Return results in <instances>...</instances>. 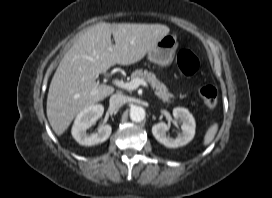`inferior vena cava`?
I'll list each match as a JSON object with an SVG mask.
<instances>
[{"label":"inferior vena cava","mask_w":272,"mask_h":198,"mask_svg":"<svg viewBox=\"0 0 272 198\" xmlns=\"http://www.w3.org/2000/svg\"><path fill=\"white\" fill-rule=\"evenodd\" d=\"M126 102H127V97L121 93L113 94L109 100L110 106L113 108H119L123 106Z\"/></svg>","instance_id":"1"}]
</instances>
